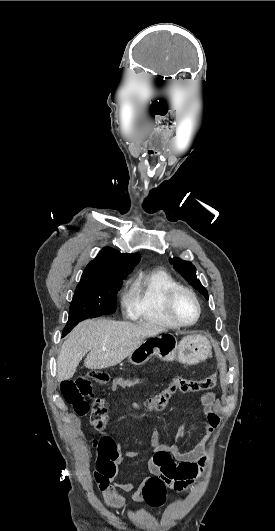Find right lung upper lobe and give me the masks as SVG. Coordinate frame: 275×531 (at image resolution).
Instances as JSON below:
<instances>
[{
  "mask_svg": "<svg viewBox=\"0 0 275 531\" xmlns=\"http://www.w3.org/2000/svg\"><path fill=\"white\" fill-rule=\"evenodd\" d=\"M140 261V255L124 254L110 247L102 249L85 268L80 281L125 278Z\"/></svg>",
  "mask_w": 275,
  "mask_h": 531,
  "instance_id": "right-lung-upper-lobe-1",
  "label": "right lung upper lobe"
}]
</instances>
